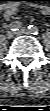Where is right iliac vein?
Wrapping results in <instances>:
<instances>
[{
    "instance_id": "obj_1",
    "label": "right iliac vein",
    "mask_w": 50,
    "mask_h": 111,
    "mask_svg": "<svg viewBox=\"0 0 50 111\" xmlns=\"http://www.w3.org/2000/svg\"><path fill=\"white\" fill-rule=\"evenodd\" d=\"M13 36H14V32H13V31H9V32H7V34H6V38H7V39H11V38H13Z\"/></svg>"
}]
</instances>
